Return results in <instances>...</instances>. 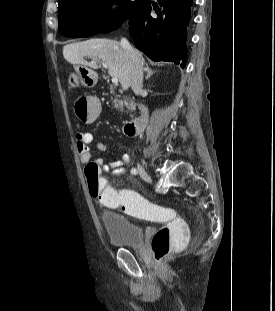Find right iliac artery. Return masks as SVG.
<instances>
[{
    "mask_svg": "<svg viewBox=\"0 0 275 311\" xmlns=\"http://www.w3.org/2000/svg\"><path fill=\"white\" fill-rule=\"evenodd\" d=\"M131 174H133V175H136V174H137L136 168H132V169H131Z\"/></svg>",
    "mask_w": 275,
    "mask_h": 311,
    "instance_id": "obj_1",
    "label": "right iliac artery"
}]
</instances>
